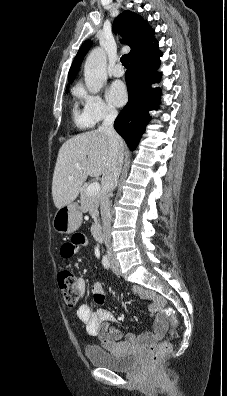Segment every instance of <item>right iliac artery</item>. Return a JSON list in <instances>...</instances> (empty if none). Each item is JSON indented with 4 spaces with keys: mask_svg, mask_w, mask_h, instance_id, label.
Wrapping results in <instances>:
<instances>
[{
    "mask_svg": "<svg viewBox=\"0 0 227 396\" xmlns=\"http://www.w3.org/2000/svg\"><path fill=\"white\" fill-rule=\"evenodd\" d=\"M102 264H103V266L106 268V269H109L110 268V260H109V258H108V256H103V258H102Z\"/></svg>",
    "mask_w": 227,
    "mask_h": 396,
    "instance_id": "right-iliac-artery-1",
    "label": "right iliac artery"
}]
</instances>
